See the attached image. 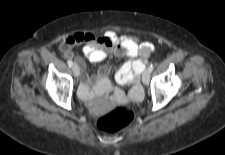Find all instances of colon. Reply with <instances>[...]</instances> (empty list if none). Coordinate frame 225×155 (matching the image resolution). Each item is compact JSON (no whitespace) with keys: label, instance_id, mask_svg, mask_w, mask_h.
Wrapping results in <instances>:
<instances>
[{"label":"colon","instance_id":"5ec220e1","mask_svg":"<svg viewBox=\"0 0 225 155\" xmlns=\"http://www.w3.org/2000/svg\"><path fill=\"white\" fill-rule=\"evenodd\" d=\"M134 120V112L128 107H118L101 116L98 128L105 133H114L129 126Z\"/></svg>","mask_w":225,"mask_h":155}]
</instances>
